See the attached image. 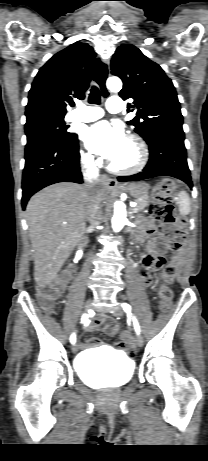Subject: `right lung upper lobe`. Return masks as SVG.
<instances>
[{
  "label": "right lung upper lobe",
  "instance_id": "cb5924a9",
  "mask_svg": "<svg viewBox=\"0 0 208 461\" xmlns=\"http://www.w3.org/2000/svg\"><path fill=\"white\" fill-rule=\"evenodd\" d=\"M96 56L87 43L75 42L52 56L35 76L28 96L26 116H65L73 97L84 98Z\"/></svg>",
  "mask_w": 208,
  "mask_h": 461
}]
</instances>
